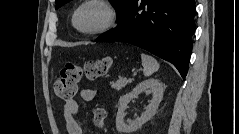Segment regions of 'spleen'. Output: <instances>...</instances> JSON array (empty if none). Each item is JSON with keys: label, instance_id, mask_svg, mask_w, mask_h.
Wrapping results in <instances>:
<instances>
[{"label": "spleen", "instance_id": "spleen-1", "mask_svg": "<svg viewBox=\"0 0 239 134\" xmlns=\"http://www.w3.org/2000/svg\"><path fill=\"white\" fill-rule=\"evenodd\" d=\"M143 73L146 77L151 76L159 69V63L157 60L145 53H141Z\"/></svg>", "mask_w": 239, "mask_h": 134}]
</instances>
